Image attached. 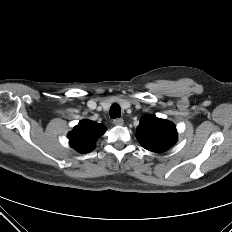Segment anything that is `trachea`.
Masks as SVG:
<instances>
[{
    "instance_id": "3493384b",
    "label": "trachea",
    "mask_w": 232,
    "mask_h": 232,
    "mask_svg": "<svg viewBox=\"0 0 232 232\" xmlns=\"http://www.w3.org/2000/svg\"><path fill=\"white\" fill-rule=\"evenodd\" d=\"M121 116V108L118 104H112L110 107V117L112 119L119 118Z\"/></svg>"
}]
</instances>
